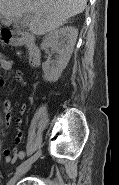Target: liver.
I'll return each instance as SVG.
<instances>
[{
    "instance_id": "1",
    "label": "liver",
    "mask_w": 119,
    "mask_h": 185,
    "mask_svg": "<svg viewBox=\"0 0 119 185\" xmlns=\"http://www.w3.org/2000/svg\"><path fill=\"white\" fill-rule=\"evenodd\" d=\"M87 0H0L2 23L9 26L15 18L29 15V30L35 35L51 32L80 13Z\"/></svg>"
}]
</instances>
